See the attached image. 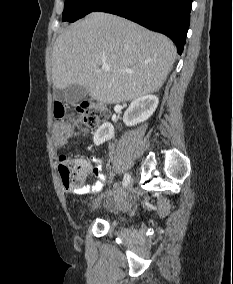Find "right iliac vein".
<instances>
[{"label": "right iliac vein", "instance_id": "right-iliac-vein-1", "mask_svg": "<svg viewBox=\"0 0 233 284\" xmlns=\"http://www.w3.org/2000/svg\"><path fill=\"white\" fill-rule=\"evenodd\" d=\"M130 179L131 180H134L135 179V176L134 175H131L130 176ZM130 188H133V183H126V187H123V193L124 194H127L128 192H130ZM99 204H100V201L98 200V201H96L95 203H94V206L95 207H98L99 206Z\"/></svg>", "mask_w": 233, "mask_h": 284}]
</instances>
